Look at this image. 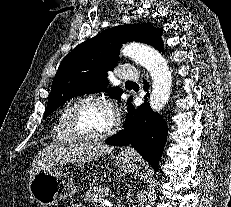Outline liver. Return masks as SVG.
I'll return each mask as SVG.
<instances>
[{"label":"liver","instance_id":"1","mask_svg":"<svg viewBox=\"0 0 231 207\" xmlns=\"http://www.w3.org/2000/svg\"><path fill=\"white\" fill-rule=\"evenodd\" d=\"M113 146L103 144H70L68 146H47L33 160L30 180L41 170H46L58 162H89L112 152Z\"/></svg>","mask_w":231,"mask_h":207}]
</instances>
